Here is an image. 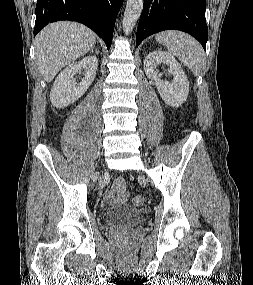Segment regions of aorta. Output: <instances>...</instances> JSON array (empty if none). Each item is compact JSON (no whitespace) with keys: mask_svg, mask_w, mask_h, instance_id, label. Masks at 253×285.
Wrapping results in <instances>:
<instances>
[{"mask_svg":"<svg viewBox=\"0 0 253 285\" xmlns=\"http://www.w3.org/2000/svg\"><path fill=\"white\" fill-rule=\"evenodd\" d=\"M144 0H127L123 16V32L128 35L135 27L143 10Z\"/></svg>","mask_w":253,"mask_h":285,"instance_id":"1","label":"aorta"}]
</instances>
